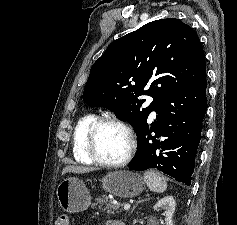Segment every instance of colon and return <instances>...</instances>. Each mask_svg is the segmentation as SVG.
Here are the masks:
<instances>
[{"mask_svg": "<svg viewBox=\"0 0 237 225\" xmlns=\"http://www.w3.org/2000/svg\"><path fill=\"white\" fill-rule=\"evenodd\" d=\"M55 225H70V217L67 214L59 215Z\"/></svg>", "mask_w": 237, "mask_h": 225, "instance_id": "colon-1", "label": "colon"}]
</instances>
